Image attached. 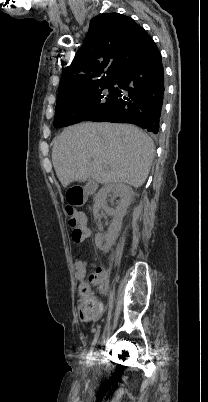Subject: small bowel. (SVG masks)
Instances as JSON below:
<instances>
[{
	"mask_svg": "<svg viewBox=\"0 0 208 402\" xmlns=\"http://www.w3.org/2000/svg\"><path fill=\"white\" fill-rule=\"evenodd\" d=\"M86 230V237L90 235V231L86 227V223H84ZM86 270V262L83 261L81 267H76V277L77 280H98L99 281V290L104 292L106 289L110 288V283L108 282L107 276L109 272L107 270H92L91 277L86 278L85 276ZM100 322V317L98 315H84L82 318V322L80 323V328L82 330H94L97 327V324ZM108 330H115L117 324L115 321H108L106 324Z\"/></svg>",
	"mask_w": 208,
	"mask_h": 402,
	"instance_id": "obj_1",
	"label": "small bowel"
}]
</instances>
